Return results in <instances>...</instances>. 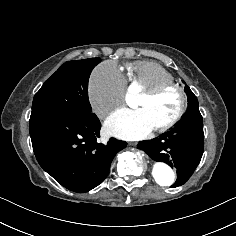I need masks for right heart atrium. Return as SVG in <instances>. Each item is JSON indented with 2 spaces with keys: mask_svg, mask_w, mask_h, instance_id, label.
Instances as JSON below:
<instances>
[{
  "mask_svg": "<svg viewBox=\"0 0 236 236\" xmlns=\"http://www.w3.org/2000/svg\"><path fill=\"white\" fill-rule=\"evenodd\" d=\"M125 79L115 66L102 63L91 73L88 81V96L93 113L104 119L124 99Z\"/></svg>",
  "mask_w": 236,
  "mask_h": 236,
  "instance_id": "1",
  "label": "right heart atrium"
}]
</instances>
